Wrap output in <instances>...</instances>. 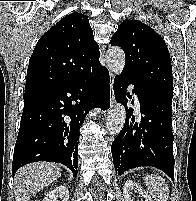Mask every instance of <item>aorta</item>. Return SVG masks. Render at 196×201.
Instances as JSON below:
<instances>
[{
    "label": "aorta",
    "instance_id": "1",
    "mask_svg": "<svg viewBox=\"0 0 196 201\" xmlns=\"http://www.w3.org/2000/svg\"><path fill=\"white\" fill-rule=\"evenodd\" d=\"M106 62L109 70L120 75L125 66V54L120 47H111L106 54ZM126 119L125 107L121 103H117L109 111L106 127L109 135L116 136L122 130Z\"/></svg>",
    "mask_w": 196,
    "mask_h": 201
}]
</instances>
